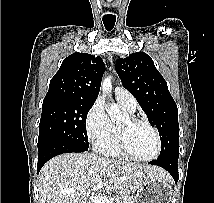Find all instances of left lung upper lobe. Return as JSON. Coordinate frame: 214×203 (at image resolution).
Segmentation results:
<instances>
[{
	"mask_svg": "<svg viewBox=\"0 0 214 203\" xmlns=\"http://www.w3.org/2000/svg\"><path fill=\"white\" fill-rule=\"evenodd\" d=\"M116 72L122 85L133 94L151 124L156 125L160 139V157L179 155L178 109L167 83L144 52L118 59Z\"/></svg>",
	"mask_w": 214,
	"mask_h": 203,
	"instance_id": "5c2ea615",
	"label": "left lung upper lobe"
}]
</instances>
